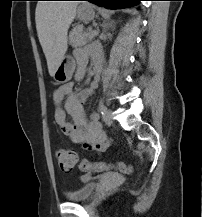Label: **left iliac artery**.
Listing matches in <instances>:
<instances>
[{
	"instance_id": "obj_1",
	"label": "left iliac artery",
	"mask_w": 202,
	"mask_h": 217,
	"mask_svg": "<svg viewBox=\"0 0 202 217\" xmlns=\"http://www.w3.org/2000/svg\"><path fill=\"white\" fill-rule=\"evenodd\" d=\"M99 111L104 116L107 111V107L104 104H100Z\"/></svg>"
}]
</instances>
